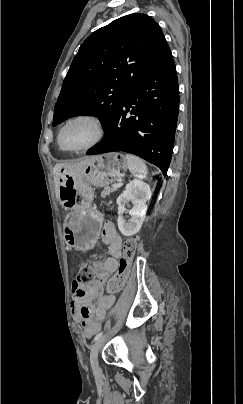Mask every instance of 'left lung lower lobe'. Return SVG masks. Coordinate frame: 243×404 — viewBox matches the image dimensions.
Wrapping results in <instances>:
<instances>
[{"instance_id": "obj_1", "label": "left lung lower lobe", "mask_w": 243, "mask_h": 404, "mask_svg": "<svg viewBox=\"0 0 243 404\" xmlns=\"http://www.w3.org/2000/svg\"><path fill=\"white\" fill-rule=\"evenodd\" d=\"M178 107L177 72L170 53L133 87L114 119L104 128L103 141L90 148L87 154L125 151L158 166L166 175L174 146ZM128 112L133 116L127 117Z\"/></svg>"}]
</instances>
